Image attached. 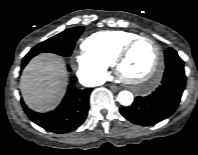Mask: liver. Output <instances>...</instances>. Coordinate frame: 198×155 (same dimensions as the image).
<instances>
[{
    "instance_id": "1",
    "label": "liver",
    "mask_w": 198,
    "mask_h": 155,
    "mask_svg": "<svg viewBox=\"0 0 198 155\" xmlns=\"http://www.w3.org/2000/svg\"><path fill=\"white\" fill-rule=\"evenodd\" d=\"M68 84L63 59L44 53L33 58L24 68L20 89L26 105L37 112L56 108L65 95Z\"/></svg>"
}]
</instances>
